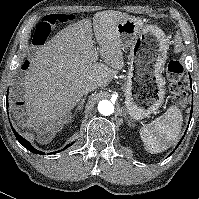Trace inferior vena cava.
I'll use <instances>...</instances> for the list:
<instances>
[{
  "label": "inferior vena cava",
  "mask_w": 199,
  "mask_h": 199,
  "mask_svg": "<svg viewBox=\"0 0 199 199\" xmlns=\"http://www.w3.org/2000/svg\"><path fill=\"white\" fill-rule=\"evenodd\" d=\"M98 87L97 83L91 82L85 87V92L93 91Z\"/></svg>",
  "instance_id": "602c4592"
}]
</instances>
